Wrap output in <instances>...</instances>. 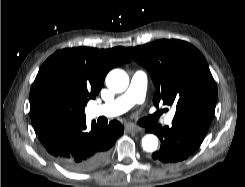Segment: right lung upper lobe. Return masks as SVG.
Listing matches in <instances>:
<instances>
[{"label":"right lung upper lobe","mask_w":245,"mask_h":187,"mask_svg":"<svg viewBox=\"0 0 245 187\" xmlns=\"http://www.w3.org/2000/svg\"><path fill=\"white\" fill-rule=\"evenodd\" d=\"M129 61L130 57L124 47L107 50L84 47L63 49L55 52L44 62L38 75L45 72L63 74L88 101L99 93L109 70ZM30 117L36 133L57 122L31 111Z\"/></svg>","instance_id":"cb5924a9"}]
</instances>
